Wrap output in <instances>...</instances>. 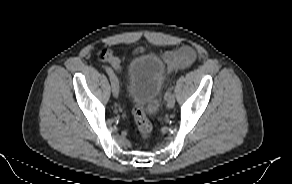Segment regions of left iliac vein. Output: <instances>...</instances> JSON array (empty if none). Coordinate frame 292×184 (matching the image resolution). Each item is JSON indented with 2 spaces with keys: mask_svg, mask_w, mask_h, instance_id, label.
<instances>
[{
  "mask_svg": "<svg viewBox=\"0 0 292 184\" xmlns=\"http://www.w3.org/2000/svg\"><path fill=\"white\" fill-rule=\"evenodd\" d=\"M166 107L167 109H172L175 105V97L172 92L169 94L168 98L166 99Z\"/></svg>",
  "mask_w": 292,
  "mask_h": 184,
  "instance_id": "left-iliac-vein-1",
  "label": "left iliac vein"
}]
</instances>
